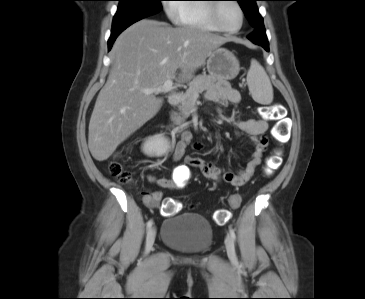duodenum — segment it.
Returning <instances> with one entry per match:
<instances>
[{
    "label": "duodenum",
    "instance_id": "obj_1",
    "mask_svg": "<svg viewBox=\"0 0 365 299\" xmlns=\"http://www.w3.org/2000/svg\"><path fill=\"white\" fill-rule=\"evenodd\" d=\"M182 97V92H174L168 97V103L172 106L178 105Z\"/></svg>",
    "mask_w": 365,
    "mask_h": 299
}]
</instances>
